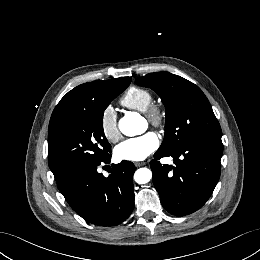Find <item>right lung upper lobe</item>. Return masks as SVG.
<instances>
[{"mask_svg": "<svg viewBox=\"0 0 260 260\" xmlns=\"http://www.w3.org/2000/svg\"><path fill=\"white\" fill-rule=\"evenodd\" d=\"M131 82L130 77H122L113 80L105 81H93L82 85H79L69 91L55 107L50 123H49V137H48V161L49 167L52 170L54 177L57 180L61 178L56 172V168L52 159V149L50 144V138L52 132L61 126L64 122L71 119L81 108L87 103V101L94 96L97 92L108 88H127Z\"/></svg>", "mask_w": 260, "mask_h": 260, "instance_id": "obj_1", "label": "right lung upper lobe"}]
</instances>
